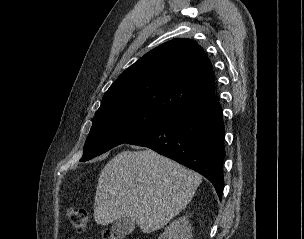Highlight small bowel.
Instances as JSON below:
<instances>
[{
  "instance_id": "1",
  "label": "small bowel",
  "mask_w": 304,
  "mask_h": 239,
  "mask_svg": "<svg viewBox=\"0 0 304 239\" xmlns=\"http://www.w3.org/2000/svg\"><path fill=\"white\" fill-rule=\"evenodd\" d=\"M65 239H73L72 237H70V236H67V237H65Z\"/></svg>"
}]
</instances>
